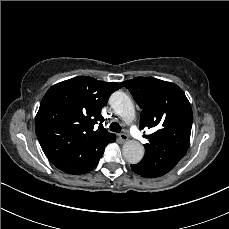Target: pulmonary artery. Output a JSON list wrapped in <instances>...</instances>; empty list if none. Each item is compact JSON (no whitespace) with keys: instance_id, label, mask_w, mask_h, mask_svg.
Listing matches in <instances>:
<instances>
[{"instance_id":"obj_1","label":"pulmonary artery","mask_w":229,"mask_h":229,"mask_svg":"<svg viewBox=\"0 0 229 229\" xmlns=\"http://www.w3.org/2000/svg\"><path fill=\"white\" fill-rule=\"evenodd\" d=\"M133 119L127 121L126 123L132 122ZM132 132L134 133V137L138 140V141H143L145 139V134L142 130H138V127L135 124H132L131 127Z\"/></svg>"}]
</instances>
